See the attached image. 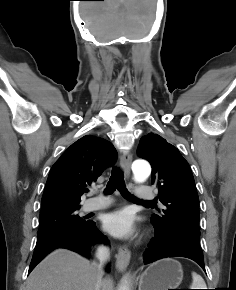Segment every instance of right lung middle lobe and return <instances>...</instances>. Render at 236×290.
<instances>
[{"instance_id":"right-lung-middle-lobe-1","label":"right lung middle lobe","mask_w":236,"mask_h":290,"mask_svg":"<svg viewBox=\"0 0 236 290\" xmlns=\"http://www.w3.org/2000/svg\"><path fill=\"white\" fill-rule=\"evenodd\" d=\"M79 206L44 210L40 212L38 236L60 229L84 226L85 221L77 214Z\"/></svg>"}]
</instances>
